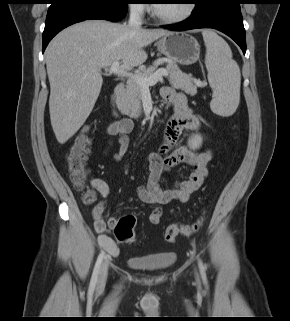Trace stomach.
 I'll use <instances>...</instances> for the list:
<instances>
[{
	"instance_id": "0dacf381",
	"label": "stomach",
	"mask_w": 290,
	"mask_h": 321,
	"mask_svg": "<svg viewBox=\"0 0 290 321\" xmlns=\"http://www.w3.org/2000/svg\"><path fill=\"white\" fill-rule=\"evenodd\" d=\"M156 46L160 53L181 65H192L200 57L198 41L187 32H170Z\"/></svg>"
}]
</instances>
